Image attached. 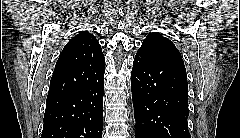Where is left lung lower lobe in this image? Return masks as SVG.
I'll return each mask as SVG.
<instances>
[{
    "mask_svg": "<svg viewBox=\"0 0 240 138\" xmlns=\"http://www.w3.org/2000/svg\"><path fill=\"white\" fill-rule=\"evenodd\" d=\"M131 89L136 138H190L188 84L182 59L136 54Z\"/></svg>",
    "mask_w": 240,
    "mask_h": 138,
    "instance_id": "left-lung-lower-lobe-1",
    "label": "left lung lower lobe"
}]
</instances>
